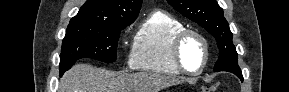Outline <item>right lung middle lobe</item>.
Wrapping results in <instances>:
<instances>
[{
	"label": "right lung middle lobe",
	"mask_w": 289,
	"mask_h": 92,
	"mask_svg": "<svg viewBox=\"0 0 289 92\" xmlns=\"http://www.w3.org/2000/svg\"><path fill=\"white\" fill-rule=\"evenodd\" d=\"M128 25L69 24L60 54V75L80 58L114 62L120 32Z\"/></svg>",
	"instance_id": "1"
}]
</instances>
